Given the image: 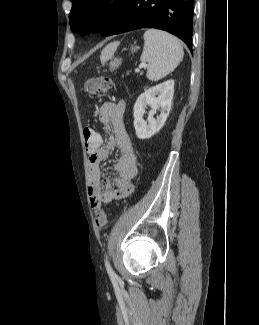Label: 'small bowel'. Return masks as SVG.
Returning a JSON list of instances; mask_svg holds the SVG:
<instances>
[{
    "label": "small bowel",
    "instance_id": "small-bowel-1",
    "mask_svg": "<svg viewBox=\"0 0 259 325\" xmlns=\"http://www.w3.org/2000/svg\"><path fill=\"white\" fill-rule=\"evenodd\" d=\"M124 115L123 101H109L100 108L99 120L108 130L109 138L104 145L102 137L100 149H86L90 168L88 195L92 207L125 198L134 191L133 179L138 172V161L125 127ZM114 147L120 150L115 163L116 175L102 178L100 164Z\"/></svg>",
    "mask_w": 259,
    "mask_h": 325
}]
</instances>
